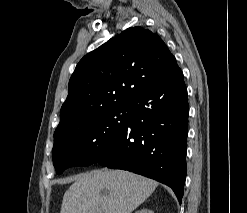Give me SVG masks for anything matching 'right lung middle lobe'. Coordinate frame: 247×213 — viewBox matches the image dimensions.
Masks as SVG:
<instances>
[{
    "label": "right lung middle lobe",
    "mask_w": 247,
    "mask_h": 213,
    "mask_svg": "<svg viewBox=\"0 0 247 213\" xmlns=\"http://www.w3.org/2000/svg\"><path fill=\"white\" fill-rule=\"evenodd\" d=\"M130 102L114 106L54 138L53 164L57 174L71 166H87L109 150L117 133L129 120Z\"/></svg>",
    "instance_id": "obj_1"
}]
</instances>
